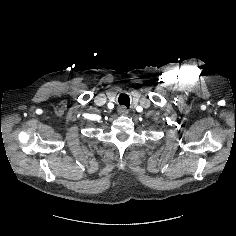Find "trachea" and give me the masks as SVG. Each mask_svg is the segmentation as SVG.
<instances>
[{"instance_id":"3493384b","label":"trachea","mask_w":236,"mask_h":236,"mask_svg":"<svg viewBox=\"0 0 236 236\" xmlns=\"http://www.w3.org/2000/svg\"><path fill=\"white\" fill-rule=\"evenodd\" d=\"M118 102L120 105H124L127 108L130 106V98L127 94H121L118 98Z\"/></svg>"}]
</instances>
